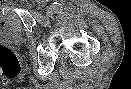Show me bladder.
Wrapping results in <instances>:
<instances>
[{"mask_svg": "<svg viewBox=\"0 0 131 89\" xmlns=\"http://www.w3.org/2000/svg\"><path fill=\"white\" fill-rule=\"evenodd\" d=\"M25 39V30L15 12L0 10V42L20 44Z\"/></svg>", "mask_w": 131, "mask_h": 89, "instance_id": "31cf9c89", "label": "bladder"}]
</instances>
